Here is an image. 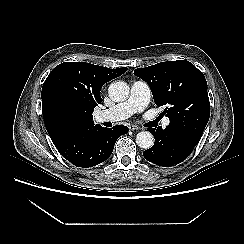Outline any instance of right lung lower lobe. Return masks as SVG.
I'll return each instance as SVG.
<instances>
[{
	"label": "right lung lower lobe",
	"instance_id": "obj_1",
	"mask_svg": "<svg viewBox=\"0 0 244 244\" xmlns=\"http://www.w3.org/2000/svg\"><path fill=\"white\" fill-rule=\"evenodd\" d=\"M127 132V126L107 129L99 125L69 132L53 143L66 160L75 166L89 168L108 159L116 140Z\"/></svg>",
	"mask_w": 244,
	"mask_h": 244
}]
</instances>
